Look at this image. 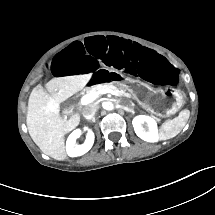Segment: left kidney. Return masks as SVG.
I'll return each mask as SVG.
<instances>
[{
	"instance_id": "obj_1",
	"label": "left kidney",
	"mask_w": 215,
	"mask_h": 215,
	"mask_svg": "<svg viewBox=\"0 0 215 215\" xmlns=\"http://www.w3.org/2000/svg\"><path fill=\"white\" fill-rule=\"evenodd\" d=\"M147 124L148 131L145 130L143 124ZM132 125L134 127L135 133L142 140L147 142H157L158 141V129L156 121L145 115H138L133 118ZM140 133H143L145 137L141 136Z\"/></svg>"
}]
</instances>
